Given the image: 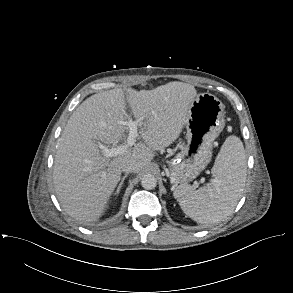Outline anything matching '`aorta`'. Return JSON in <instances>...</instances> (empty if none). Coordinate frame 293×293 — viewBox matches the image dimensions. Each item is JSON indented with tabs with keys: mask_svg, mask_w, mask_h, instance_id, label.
Masks as SVG:
<instances>
[{
	"mask_svg": "<svg viewBox=\"0 0 293 293\" xmlns=\"http://www.w3.org/2000/svg\"><path fill=\"white\" fill-rule=\"evenodd\" d=\"M141 186L144 189L151 190L157 186V179L151 173H146L141 178Z\"/></svg>",
	"mask_w": 293,
	"mask_h": 293,
	"instance_id": "obj_1",
	"label": "aorta"
}]
</instances>
